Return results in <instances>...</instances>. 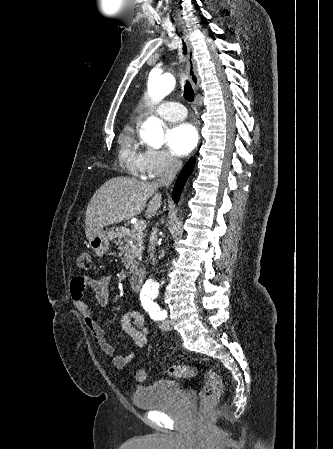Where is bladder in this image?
<instances>
[{
    "label": "bladder",
    "mask_w": 333,
    "mask_h": 449,
    "mask_svg": "<svg viewBox=\"0 0 333 449\" xmlns=\"http://www.w3.org/2000/svg\"><path fill=\"white\" fill-rule=\"evenodd\" d=\"M181 384L174 380H160L146 386H138L132 401L141 410H155L169 407L181 395Z\"/></svg>",
    "instance_id": "bladder-1"
}]
</instances>
